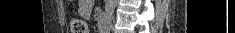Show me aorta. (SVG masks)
<instances>
[{"instance_id": "1", "label": "aorta", "mask_w": 235, "mask_h": 33, "mask_svg": "<svg viewBox=\"0 0 235 33\" xmlns=\"http://www.w3.org/2000/svg\"><path fill=\"white\" fill-rule=\"evenodd\" d=\"M117 0H105L104 21L109 25L112 21Z\"/></svg>"}]
</instances>
